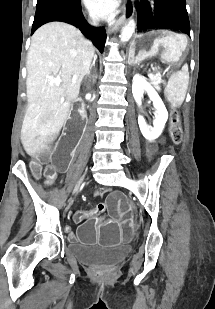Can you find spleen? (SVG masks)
I'll return each mask as SVG.
<instances>
[{"label":"spleen","mask_w":215,"mask_h":309,"mask_svg":"<svg viewBox=\"0 0 215 309\" xmlns=\"http://www.w3.org/2000/svg\"><path fill=\"white\" fill-rule=\"evenodd\" d=\"M184 74L185 68L172 74L168 80L164 94L167 100H169L171 106H181L185 98L188 80H185Z\"/></svg>","instance_id":"spleen-1"}]
</instances>
